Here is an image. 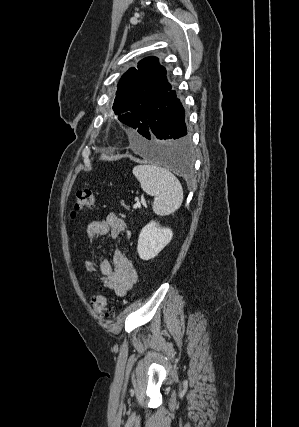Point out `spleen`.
<instances>
[{"label":"spleen","instance_id":"obj_1","mask_svg":"<svg viewBox=\"0 0 299 427\" xmlns=\"http://www.w3.org/2000/svg\"><path fill=\"white\" fill-rule=\"evenodd\" d=\"M133 175L146 194L155 196L153 211L160 216L174 213L182 204L183 189L179 180L167 169L153 164L137 165Z\"/></svg>","mask_w":299,"mask_h":427}]
</instances>
